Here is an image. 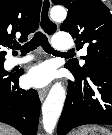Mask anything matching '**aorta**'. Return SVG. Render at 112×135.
I'll return each mask as SVG.
<instances>
[{
    "label": "aorta",
    "mask_w": 112,
    "mask_h": 135,
    "mask_svg": "<svg viewBox=\"0 0 112 135\" xmlns=\"http://www.w3.org/2000/svg\"><path fill=\"white\" fill-rule=\"evenodd\" d=\"M67 12L63 7H54L51 10V17L54 21H63ZM66 92L60 82L55 83L49 91V94L42 106V122L47 134H52L58 119L61 115Z\"/></svg>",
    "instance_id": "aorta-1"
}]
</instances>
